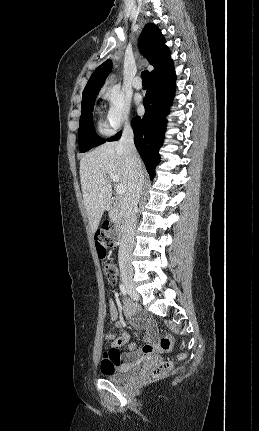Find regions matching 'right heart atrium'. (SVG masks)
I'll use <instances>...</instances> for the list:
<instances>
[{"instance_id": "obj_1", "label": "right heart atrium", "mask_w": 259, "mask_h": 431, "mask_svg": "<svg viewBox=\"0 0 259 431\" xmlns=\"http://www.w3.org/2000/svg\"><path fill=\"white\" fill-rule=\"evenodd\" d=\"M102 97L107 101L105 125L113 133L131 123L130 102L120 89L113 85L105 86L101 91Z\"/></svg>"}]
</instances>
